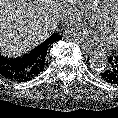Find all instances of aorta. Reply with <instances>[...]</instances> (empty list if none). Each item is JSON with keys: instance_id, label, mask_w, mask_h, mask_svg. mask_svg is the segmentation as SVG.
Segmentation results:
<instances>
[{"instance_id": "762f6f07", "label": "aorta", "mask_w": 118, "mask_h": 118, "mask_svg": "<svg viewBox=\"0 0 118 118\" xmlns=\"http://www.w3.org/2000/svg\"><path fill=\"white\" fill-rule=\"evenodd\" d=\"M83 13L87 16L92 14V5L87 4L83 7ZM91 68L96 71L104 70L108 65V60L103 54H94L90 59Z\"/></svg>"}]
</instances>
